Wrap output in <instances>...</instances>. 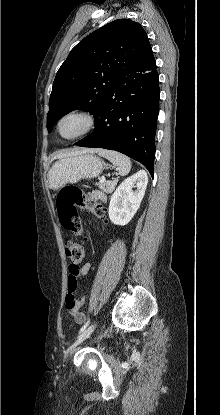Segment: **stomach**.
Listing matches in <instances>:
<instances>
[{
  "label": "stomach",
  "mask_w": 220,
  "mask_h": 415,
  "mask_svg": "<svg viewBox=\"0 0 220 415\" xmlns=\"http://www.w3.org/2000/svg\"><path fill=\"white\" fill-rule=\"evenodd\" d=\"M105 168H107V165L91 153L67 156L52 166L48 173V180L52 189H58L67 183L95 178Z\"/></svg>",
  "instance_id": "1"
}]
</instances>
